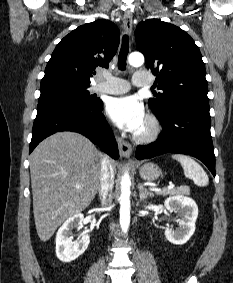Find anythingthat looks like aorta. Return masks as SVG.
Listing matches in <instances>:
<instances>
[{"label": "aorta", "mask_w": 233, "mask_h": 283, "mask_svg": "<svg viewBox=\"0 0 233 283\" xmlns=\"http://www.w3.org/2000/svg\"><path fill=\"white\" fill-rule=\"evenodd\" d=\"M128 62L131 66L139 67L144 63V56L141 53L134 52L128 57ZM130 176L125 173L121 180V195H120V226L124 233H127L130 224Z\"/></svg>", "instance_id": "aorta-1"}]
</instances>
